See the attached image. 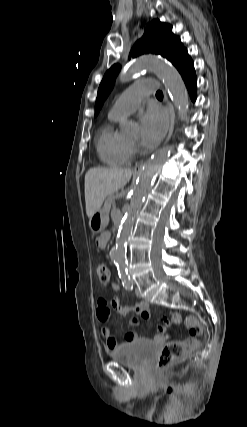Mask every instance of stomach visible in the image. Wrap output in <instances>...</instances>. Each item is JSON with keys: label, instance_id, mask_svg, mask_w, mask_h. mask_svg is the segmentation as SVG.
<instances>
[{"label": "stomach", "instance_id": "0dacf381", "mask_svg": "<svg viewBox=\"0 0 247 427\" xmlns=\"http://www.w3.org/2000/svg\"><path fill=\"white\" fill-rule=\"evenodd\" d=\"M108 221V213L100 209L90 217L89 226L94 233H100L105 229Z\"/></svg>", "mask_w": 247, "mask_h": 427}]
</instances>
